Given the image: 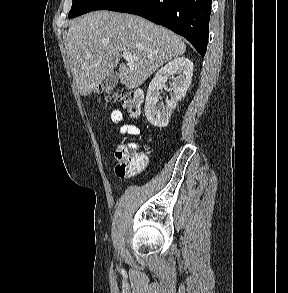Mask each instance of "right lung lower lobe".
Returning <instances> with one entry per match:
<instances>
[{
    "instance_id": "obj_1",
    "label": "right lung lower lobe",
    "mask_w": 288,
    "mask_h": 293,
    "mask_svg": "<svg viewBox=\"0 0 288 293\" xmlns=\"http://www.w3.org/2000/svg\"><path fill=\"white\" fill-rule=\"evenodd\" d=\"M212 0H119L106 10L142 16L185 37L204 56Z\"/></svg>"
}]
</instances>
